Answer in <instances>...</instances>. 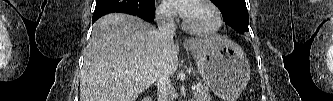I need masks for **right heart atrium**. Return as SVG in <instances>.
I'll return each instance as SVG.
<instances>
[{
  "instance_id": "obj_1",
  "label": "right heart atrium",
  "mask_w": 333,
  "mask_h": 101,
  "mask_svg": "<svg viewBox=\"0 0 333 101\" xmlns=\"http://www.w3.org/2000/svg\"><path fill=\"white\" fill-rule=\"evenodd\" d=\"M156 15H157L158 19H160L164 22H168V21H171L173 18V10L166 3L162 2L157 7Z\"/></svg>"
}]
</instances>
